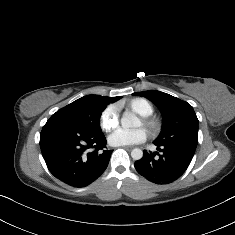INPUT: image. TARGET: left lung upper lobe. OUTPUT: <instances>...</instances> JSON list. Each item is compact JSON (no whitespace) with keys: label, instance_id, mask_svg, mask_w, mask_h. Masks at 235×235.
Instances as JSON below:
<instances>
[{"label":"left lung upper lobe","instance_id":"obj_1","mask_svg":"<svg viewBox=\"0 0 235 235\" xmlns=\"http://www.w3.org/2000/svg\"><path fill=\"white\" fill-rule=\"evenodd\" d=\"M152 101L163 115L162 130L154 144L178 143L196 149L198 119L187 102L157 90L134 93Z\"/></svg>","mask_w":235,"mask_h":235}]
</instances>
